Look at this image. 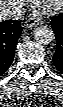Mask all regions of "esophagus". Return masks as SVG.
<instances>
[{"label": "esophagus", "instance_id": "esophagus-1", "mask_svg": "<svg viewBox=\"0 0 63 107\" xmlns=\"http://www.w3.org/2000/svg\"><path fill=\"white\" fill-rule=\"evenodd\" d=\"M38 24H39V22H38L37 19H35V18H29V19L26 21L25 26H26L27 28H33V27L38 26Z\"/></svg>", "mask_w": 63, "mask_h": 107}]
</instances>
